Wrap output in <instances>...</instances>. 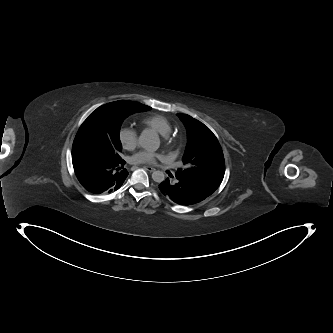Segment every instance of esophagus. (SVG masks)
<instances>
[{
	"label": "esophagus",
	"mask_w": 333,
	"mask_h": 333,
	"mask_svg": "<svg viewBox=\"0 0 333 333\" xmlns=\"http://www.w3.org/2000/svg\"><path fill=\"white\" fill-rule=\"evenodd\" d=\"M144 169L149 171V172H154L156 169L151 167V166H144Z\"/></svg>",
	"instance_id": "esophagus-1"
}]
</instances>
